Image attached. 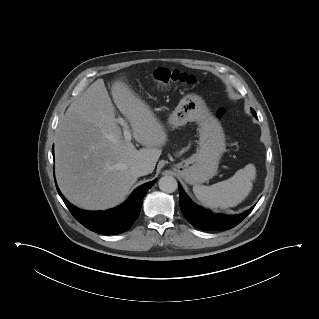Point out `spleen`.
Masks as SVG:
<instances>
[{"instance_id":"obj_1","label":"spleen","mask_w":319,"mask_h":319,"mask_svg":"<svg viewBox=\"0 0 319 319\" xmlns=\"http://www.w3.org/2000/svg\"><path fill=\"white\" fill-rule=\"evenodd\" d=\"M255 178L256 168L253 164H248L227 180L211 186L195 185L193 192L197 199L207 207H234L251 192Z\"/></svg>"}]
</instances>
